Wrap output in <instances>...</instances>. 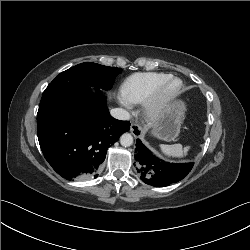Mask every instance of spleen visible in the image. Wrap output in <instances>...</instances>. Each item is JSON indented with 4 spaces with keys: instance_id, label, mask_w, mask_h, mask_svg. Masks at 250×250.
Masks as SVG:
<instances>
[{
    "instance_id": "1",
    "label": "spleen",
    "mask_w": 250,
    "mask_h": 250,
    "mask_svg": "<svg viewBox=\"0 0 250 250\" xmlns=\"http://www.w3.org/2000/svg\"><path fill=\"white\" fill-rule=\"evenodd\" d=\"M162 152L168 157L180 158L186 156L190 146L183 147L181 144L160 145Z\"/></svg>"
}]
</instances>
